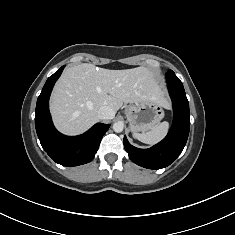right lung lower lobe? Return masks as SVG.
<instances>
[{
  "label": "right lung lower lobe",
  "instance_id": "right-lung-lower-lobe-1",
  "mask_svg": "<svg viewBox=\"0 0 235 235\" xmlns=\"http://www.w3.org/2000/svg\"><path fill=\"white\" fill-rule=\"evenodd\" d=\"M63 69L64 66L47 79L38 97L35 127L40 143L48 155L56 163L71 167L86 164L95 157L110 124L97 123L86 133L75 137L62 135L55 129L49 113V97Z\"/></svg>",
  "mask_w": 235,
  "mask_h": 235
}]
</instances>
